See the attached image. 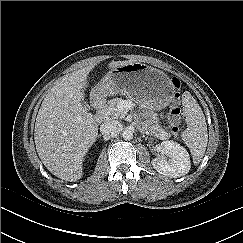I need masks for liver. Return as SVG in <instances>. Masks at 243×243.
I'll list each match as a JSON object with an SVG mask.
<instances>
[{
  "instance_id": "obj_1",
  "label": "liver",
  "mask_w": 243,
  "mask_h": 243,
  "mask_svg": "<svg viewBox=\"0 0 243 243\" xmlns=\"http://www.w3.org/2000/svg\"><path fill=\"white\" fill-rule=\"evenodd\" d=\"M129 61L108 64L112 69ZM95 64L64 76L44 98L36 117L34 140L44 166L56 177L76 181L83 175L82 163L95 142L98 125L82 104L87 77Z\"/></svg>"
}]
</instances>
